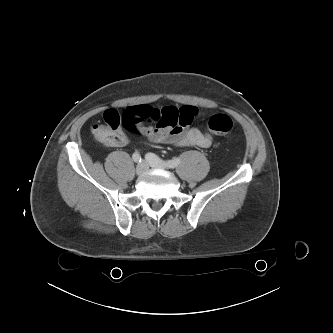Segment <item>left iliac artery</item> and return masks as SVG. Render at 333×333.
Returning a JSON list of instances; mask_svg holds the SVG:
<instances>
[{
	"label": "left iliac artery",
	"mask_w": 333,
	"mask_h": 333,
	"mask_svg": "<svg viewBox=\"0 0 333 333\" xmlns=\"http://www.w3.org/2000/svg\"><path fill=\"white\" fill-rule=\"evenodd\" d=\"M148 155H150V154H148ZM147 155V156H148ZM180 162H181V160H180V158L179 157H176V158H174V159H172V160H168V161H166V165L169 167V168H176L179 164H180Z\"/></svg>",
	"instance_id": "1"
}]
</instances>
